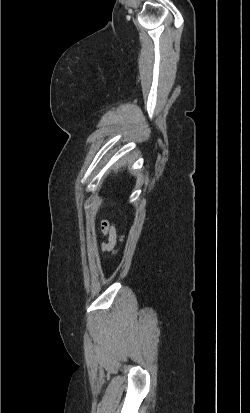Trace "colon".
<instances>
[{
	"label": "colon",
	"instance_id": "5ec220e1",
	"mask_svg": "<svg viewBox=\"0 0 250 413\" xmlns=\"http://www.w3.org/2000/svg\"><path fill=\"white\" fill-rule=\"evenodd\" d=\"M124 240V236H121L120 238V242H122Z\"/></svg>",
	"mask_w": 250,
	"mask_h": 413
}]
</instances>
